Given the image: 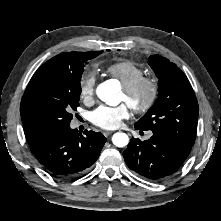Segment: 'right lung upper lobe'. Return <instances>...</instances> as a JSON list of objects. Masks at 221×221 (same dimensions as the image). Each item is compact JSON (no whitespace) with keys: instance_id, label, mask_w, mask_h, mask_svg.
Masks as SVG:
<instances>
[{"instance_id":"1","label":"right lung upper lobe","mask_w":221,"mask_h":221,"mask_svg":"<svg viewBox=\"0 0 221 221\" xmlns=\"http://www.w3.org/2000/svg\"><path fill=\"white\" fill-rule=\"evenodd\" d=\"M84 52L61 53L43 64L32 76L23 95L20 113L23 121V128L29 146L35 144L51 131L39 124L29 111V93L38 80L47 72H65L72 70L78 58Z\"/></svg>"}]
</instances>
